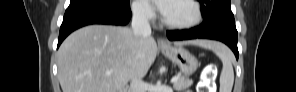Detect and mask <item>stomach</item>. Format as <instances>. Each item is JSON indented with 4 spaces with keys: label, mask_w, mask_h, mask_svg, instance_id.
I'll return each instance as SVG.
<instances>
[{
    "label": "stomach",
    "mask_w": 296,
    "mask_h": 92,
    "mask_svg": "<svg viewBox=\"0 0 296 92\" xmlns=\"http://www.w3.org/2000/svg\"><path fill=\"white\" fill-rule=\"evenodd\" d=\"M161 51L179 67L185 77L192 75L198 68V60L182 46L161 48Z\"/></svg>",
    "instance_id": "stomach-1"
}]
</instances>
